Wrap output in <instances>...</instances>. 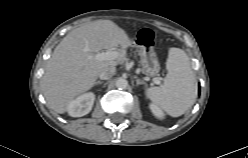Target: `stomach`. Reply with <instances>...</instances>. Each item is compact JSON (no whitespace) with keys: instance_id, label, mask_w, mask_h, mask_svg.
I'll list each match as a JSON object with an SVG mask.
<instances>
[{"instance_id":"1","label":"stomach","mask_w":248,"mask_h":158,"mask_svg":"<svg viewBox=\"0 0 248 158\" xmlns=\"http://www.w3.org/2000/svg\"><path fill=\"white\" fill-rule=\"evenodd\" d=\"M141 66L143 73L148 76H156L160 71V64L153 49L142 47L140 50Z\"/></svg>"}]
</instances>
